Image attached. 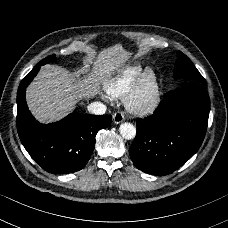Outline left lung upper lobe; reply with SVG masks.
I'll list each match as a JSON object with an SVG mask.
<instances>
[{"mask_svg": "<svg viewBox=\"0 0 228 228\" xmlns=\"http://www.w3.org/2000/svg\"><path fill=\"white\" fill-rule=\"evenodd\" d=\"M174 78L187 79L185 86H205L207 83L191 60L181 51L177 54V60L174 69Z\"/></svg>", "mask_w": 228, "mask_h": 228, "instance_id": "left-lung-upper-lobe-1", "label": "left lung upper lobe"}]
</instances>
